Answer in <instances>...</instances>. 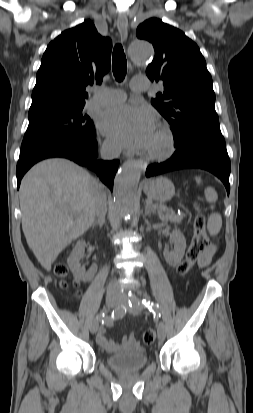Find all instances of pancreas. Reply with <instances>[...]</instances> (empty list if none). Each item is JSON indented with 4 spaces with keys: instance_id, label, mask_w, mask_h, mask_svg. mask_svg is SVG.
Masks as SVG:
<instances>
[{
    "instance_id": "1",
    "label": "pancreas",
    "mask_w": 253,
    "mask_h": 413,
    "mask_svg": "<svg viewBox=\"0 0 253 413\" xmlns=\"http://www.w3.org/2000/svg\"><path fill=\"white\" fill-rule=\"evenodd\" d=\"M157 208L160 211L165 212V220H169L170 222L174 223H180L183 219L182 216L175 214V212L171 208H167L165 205H157Z\"/></svg>"
}]
</instances>
